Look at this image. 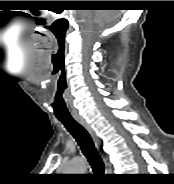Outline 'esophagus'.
<instances>
[{
	"mask_svg": "<svg viewBox=\"0 0 174 184\" xmlns=\"http://www.w3.org/2000/svg\"><path fill=\"white\" fill-rule=\"evenodd\" d=\"M75 120L88 131V133L91 135L92 139L94 140L96 146L99 147V145H100L99 140H98L94 130L90 127V125L87 123V121L81 116H76Z\"/></svg>",
	"mask_w": 174,
	"mask_h": 184,
	"instance_id": "esophagus-1",
	"label": "esophagus"
}]
</instances>
